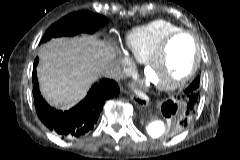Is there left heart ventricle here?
<instances>
[{"label":"left heart ventricle","mask_w":240,"mask_h":160,"mask_svg":"<svg viewBox=\"0 0 240 160\" xmlns=\"http://www.w3.org/2000/svg\"><path fill=\"white\" fill-rule=\"evenodd\" d=\"M194 45L188 36L172 40L162 57L147 74L152 83H165L181 77L191 67L194 60Z\"/></svg>","instance_id":"obj_1"}]
</instances>
